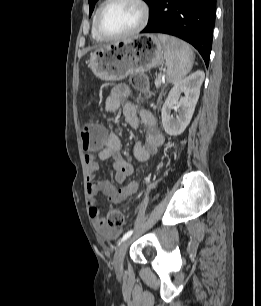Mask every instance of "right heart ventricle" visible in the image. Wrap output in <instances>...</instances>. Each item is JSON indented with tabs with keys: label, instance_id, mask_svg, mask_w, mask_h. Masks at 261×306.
Here are the masks:
<instances>
[{
	"label": "right heart ventricle",
	"instance_id": "1",
	"mask_svg": "<svg viewBox=\"0 0 261 306\" xmlns=\"http://www.w3.org/2000/svg\"><path fill=\"white\" fill-rule=\"evenodd\" d=\"M99 8H100V7H99ZM99 8H98V9H99ZM98 9L96 10V12H95V14H94V17H93V22H92V37H93V39H94L95 41L100 42V41H103V40H102L101 38H99V37L96 35L95 29H94V20H95V16H96V14H97Z\"/></svg>",
	"mask_w": 261,
	"mask_h": 306
}]
</instances>
